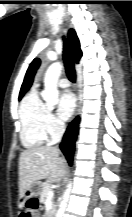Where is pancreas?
Here are the masks:
<instances>
[{
  "label": "pancreas",
  "mask_w": 132,
  "mask_h": 217,
  "mask_svg": "<svg viewBox=\"0 0 132 217\" xmlns=\"http://www.w3.org/2000/svg\"><path fill=\"white\" fill-rule=\"evenodd\" d=\"M51 187H52V185L48 181L42 183V188H41V193H40V202L41 203H45L46 202V200L48 198V192L50 190H52ZM54 213H55V205L52 202V208H51V210L48 213H46L45 217H53Z\"/></svg>",
  "instance_id": "pancreas-1"
}]
</instances>
